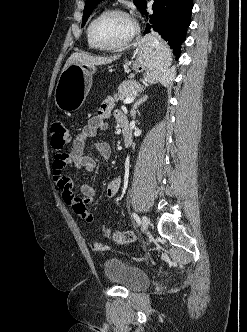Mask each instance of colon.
Segmentation results:
<instances>
[{"label":"colon","mask_w":247,"mask_h":332,"mask_svg":"<svg viewBox=\"0 0 247 332\" xmlns=\"http://www.w3.org/2000/svg\"><path fill=\"white\" fill-rule=\"evenodd\" d=\"M51 145L56 150L63 149L70 141L69 129L63 121H55L51 125ZM106 235L118 244L131 243L135 241L136 235L133 231H107Z\"/></svg>","instance_id":"obj_1"}]
</instances>
